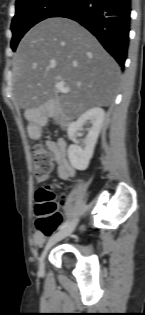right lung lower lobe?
<instances>
[{
    "label": "right lung lower lobe",
    "mask_w": 145,
    "mask_h": 315,
    "mask_svg": "<svg viewBox=\"0 0 145 315\" xmlns=\"http://www.w3.org/2000/svg\"><path fill=\"white\" fill-rule=\"evenodd\" d=\"M131 0H72L52 17L73 19L97 37L124 67L130 31Z\"/></svg>",
    "instance_id": "98d812e1"
}]
</instances>
